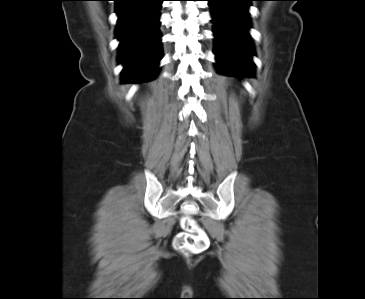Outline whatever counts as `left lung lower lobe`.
<instances>
[{"mask_svg": "<svg viewBox=\"0 0 365 299\" xmlns=\"http://www.w3.org/2000/svg\"><path fill=\"white\" fill-rule=\"evenodd\" d=\"M215 23L216 67L223 75L253 76L248 7L254 0H207Z\"/></svg>", "mask_w": 365, "mask_h": 299, "instance_id": "obj_1", "label": "left lung lower lobe"}]
</instances>
